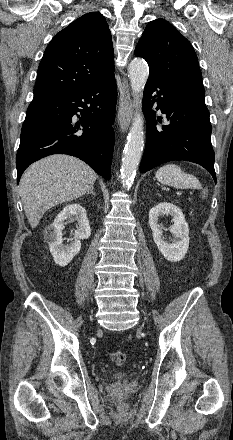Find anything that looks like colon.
<instances>
[{
  "mask_svg": "<svg viewBox=\"0 0 233 440\" xmlns=\"http://www.w3.org/2000/svg\"><path fill=\"white\" fill-rule=\"evenodd\" d=\"M200 197L202 199H205L207 197V192L205 190H202L200 192ZM110 356H111L112 361L119 366L123 365L127 359V356L123 351H113V352H111ZM120 408L124 409L125 406L122 405Z\"/></svg>",
  "mask_w": 233,
  "mask_h": 440,
  "instance_id": "colon-1",
  "label": "colon"
}]
</instances>
